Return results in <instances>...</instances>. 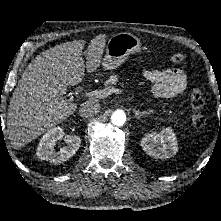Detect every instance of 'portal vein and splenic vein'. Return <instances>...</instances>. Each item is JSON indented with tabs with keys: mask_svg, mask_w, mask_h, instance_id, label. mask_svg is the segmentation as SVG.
Masks as SVG:
<instances>
[{
	"mask_svg": "<svg viewBox=\"0 0 221 221\" xmlns=\"http://www.w3.org/2000/svg\"><path fill=\"white\" fill-rule=\"evenodd\" d=\"M123 91L121 89H117L114 87L108 88V89H103V90H95L92 92H86L85 97H96V98H104L107 97L108 95L112 93H122ZM73 99L70 98L69 101H72Z\"/></svg>",
	"mask_w": 221,
	"mask_h": 221,
	"instance_id": "portal-vein-and-splenic-vein-1",
	"label": "portal vein and splenic vein"
}]
</instances>
